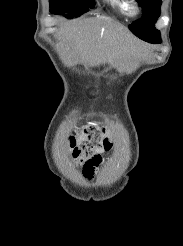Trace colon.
I'll return each instance as SVG.
<instances>
[{
    "instance_id": "5ec220e1",
    "label": "colon",
    "mask_w": 183,
    "mask_h": 246,
    "mask_svg": "<svg viewBox=\"0 0 183 246\" xmlns=\"http://www.w3.org/2000/svg\"><path fill=\"white\" fill-rule=\"evenodd\" d=\"M67 146L74 162L82 165L94 154L110 150L112 141L107 129L90 125L83 130L80 136L69 137Z\"/></svg>"
}]
</instances>
